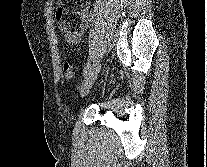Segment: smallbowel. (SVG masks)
Masks as SVG:
<instances>
[{
  "instance_id": "obj_1",
  "label": "small bowel",
  "mask_w": 207,
  "mask_h": 167,
  "mask_svg": "<svg viewBox=\"0 0 207 167\" xmlns=\"http://www.w3.org/2000/svg\"><path fill=\"white\" fill-rule=\"evenodd\" d=\"M88 11V2H85L76 13L77 18L79 19V24L75 29H72L65 19V7L63 3H59L56 12L57 26L66 43L75 45L81 40L89 20Z\"/></svg>"
}]
</instances>
